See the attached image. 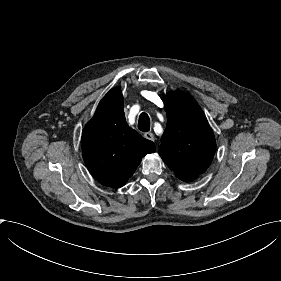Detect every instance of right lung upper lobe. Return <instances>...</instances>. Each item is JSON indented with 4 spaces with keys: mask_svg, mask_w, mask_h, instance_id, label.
I'll return each instance as SVG.
<instances>
[{
    "mask_svg": "<svg viewBox=\"0 0 281 281\" xmlns=\"http://www.w3.org/2000/svg\"><path fill=\"white\" fill-rule=\"evenodd\" d=\"M155 150L152 141L127 125L122 92L111 89L82 133L83 159L90 173L104 186L122 187L142 158Z\"/></svg>",
    "mask_w": 281,
    "mask_h": 281,
    "instance_id": "right-lung-upper-lobe-1",
    "label": "right lung upper lobe"
}]
</instances>
